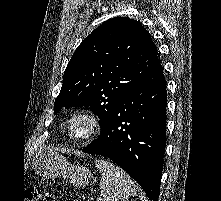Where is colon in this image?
Wrapping results in <instances>:
<instances>
[{
	"mask_svg": "<svg viewBox=\"0 0 221 201\" xmlns=\"http://www.w3.org/2000/svg\"><path fill=\"white\" fill-rule=\"evenodd\" d=\"M40 197V190L35 187H28L25 190L23 201H38Z\"/></svg>",
	"mask_w": 221,
	"mask_h": 201,
	"instance_id": "obj_1",
	"label": "colon"
}]
</instances>
